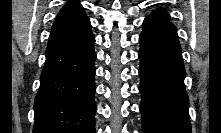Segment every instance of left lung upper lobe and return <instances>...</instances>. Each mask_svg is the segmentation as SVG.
Here are the masks:
<instances>
[{
  "label": "left lung upper lobe",
  "instance_id": "5c2ea615",
  "mask_svg": "<svg viewBox=\"0 0 221 133\" xmlns=\"http://www.w3.org/2000/svg\"><path fill=\"white\" fill-rule=\"evenodd\" d=\"M148 17H157L162 19H169V14L163 9H157L156 11L152 12Z\"/></svg>",
  "mask_w": 221,
  "mask_h": 133
}]
</instances>
